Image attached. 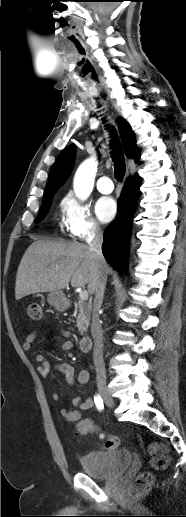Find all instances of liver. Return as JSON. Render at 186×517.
Listing matches in <instances>:
<instances>
[{
  "label": "liver",
  "mask_w": 186,
  "mask_h": 517,
  "mask_svg": "<svg viewBox=\"0 0 186 517\" xmlns=\"http://www.w3.org/2000/svg\"><path fill=\"white\" fill-rule=\"evenodd\" d=\"M104 270L109 273L105 263ZM96 261L89 246L76 242L38 240L23 255L15 285V299L30 294L87 285L88 293H94Z\"/></svg>",
  "instance_id": "obj_1"
}]
</instances>
